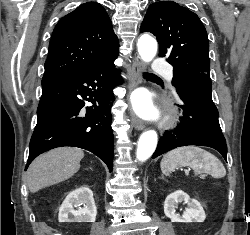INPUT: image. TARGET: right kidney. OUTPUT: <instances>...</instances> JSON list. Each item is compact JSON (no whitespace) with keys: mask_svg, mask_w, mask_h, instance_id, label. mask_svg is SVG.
I'll return each instance as SVG.
<instances>
[{"mask_svg":"<svg viewBox=\"0 0 250 235\" xmlns=\"http://www.w3.org/2000/svg\"><path fill=\"white\" fill-rule=\"evenodd\" d=\"M97 208L93 192L82 186L70 192L59 208V222H95Z\"/></svg>","mask_w":250,"mask_h":235,"instance_id":"1","label":"right kidney"}]
</instances>
